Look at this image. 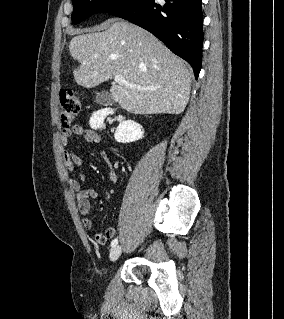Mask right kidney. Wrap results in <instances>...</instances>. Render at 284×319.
Wrapping results in <instances>:
<instances>
[{
  "mask_svg": "<svg viewBox=\"0 0 284 319\" xmlns=\"http://www.w3.org/2000/svg\"><path fill=\"white\" fill-rule=\"evenodd\" d=\"M107 114V110H99L93 113L89 121L91 128H101ZM143 134V127L140 124L132 120H126L120 122L115 131L114 137L117 142L130 143L140 140L143 137Z\"/></svg>",
  "mask_w": 284,
  "mask_h": 319,
  "instance_id": "obj_1",
  "label": "right kidney"
}]
</instances>
